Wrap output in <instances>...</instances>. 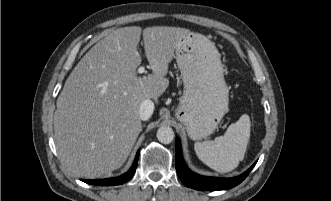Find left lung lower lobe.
I'll list each match as a JSON object with an SVG mask.
<instances>
[{
	"instance_id": "1",
	"label": "left lung lower lobe",
	"mask_w": 331,
	"mask_h": 201,
	"mask_svg": "<svg viewBox=\"0 0 331 201\" xmlns=\"http://www.w3.org/2000/svg\"><path fill=\"white\" fill-rule=\"evenodd\" d=\"M255 162L246 172L234 178L205 177L193 173L186 166L181 153L180 141L176 138V171L181 181L189 188L203 191L227 190L240 184L253 169Z\"/></svg>"
}]
</instances>
